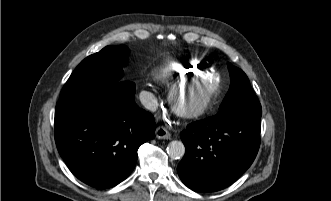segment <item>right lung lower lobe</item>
Instances as JSON below:
<instances>
[{
    "mask_svg": "<svg viewBox=\"0 0 331 201\" xmlns=\"http://www.w3.org/2000/svg\"><path fill=\"white\" fill-rule=\"evenodd\" d=\"M134 95L133 82H110L57 103L56 145L82 182L111 188L133 171L138 148L156 127L153 115L136 105Z\"/></svg>",
    "mask_w": 331,
    "mask_h": 201,
    "instance_id": "right-lung-lower-lobe-1",
    "label": "right lung lower lobe"
}]
</instances>
